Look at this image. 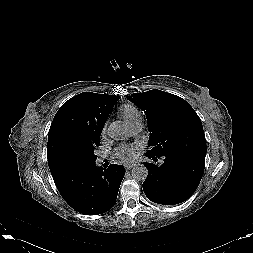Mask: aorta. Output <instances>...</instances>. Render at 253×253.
I'll return each mask as SVG.
<instances>
[{"label":"aorta","mask_w":253,"mask_h":253,"mask_svg":"<svg viewBox=\"0 0 253 253\" xmlns=\"http://www.w3.org/2000/svg\"><path fill=\"white\" fill-rule=\"evenodd\" d=\"M107 134L114 140H124L129 136L128 126L120 121L110 124ZM148 176V169L145 165H136L132 169V177L137 181H144Z\"/></svg>","instance_id":"obj_1"}]
</instances>
